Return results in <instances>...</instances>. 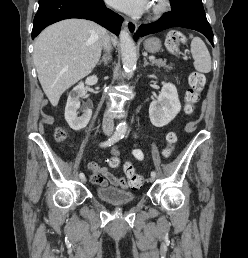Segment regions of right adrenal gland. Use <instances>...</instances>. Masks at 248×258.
Here are the masks:
<instances>
[{"instance_id":"obj_1","label":"right adrenal gland","mask_w":248,"mask_h":258,"mask_svg":"<svg viewBox=\"0 0 248 258\" xmlns=\"http://www.w3.org/2000/svg\"><path fill=\"white\" fill-rule=\"evenodd\" d=\"M111 60V56L110 54L107 52L103 55L102 59L98 62L97 65H101V63H104V65H108V63L110 62Z\"/></svg>"}]
</instances>
